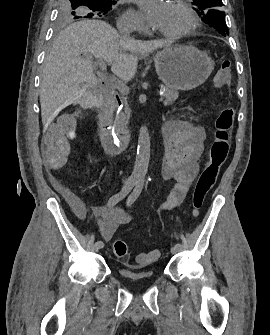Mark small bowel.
<instances>
[{"label": "small bowel", "mask_w": 270, "mask_h": 335, "mask_svg": "<svg viewBox=\"0 0 270 335\" xmlns=\"http://www.w3.org/2000/svg\"><path fill=\"white\" fill-rule=\"evenodd\" d=\"M165 158L161 164V177L174 182L167 200L160 206L161 210H172L184 200L186 193L199 171L198 160L204 152L203 141L205 132L202 127L194 126L182 120L167 121L163 126ZM75 137V121L61 117L52 127L48 138L46 156L47 165H69L70 160L65 154L73 151V144H67L68 139ZM62 145H64L62 147ZM102 220L98 229L102 237L109 240L114 235L119 224L128 223L130 215L117 207L99 212Z\"/></svg>", "instance_id": "small-bowel-1"}]
</instances>
